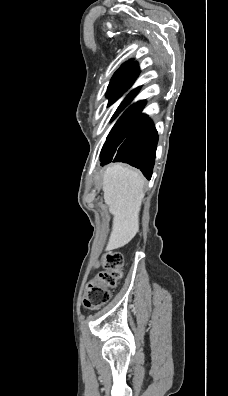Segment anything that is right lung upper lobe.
I'll return each instance as SVG.
<instances>
[{"instance_id": "right-lung-upper-lobe-1", "label": "right lung upper lobe", "mask_w": 228, "mask_h": 396, "mask_svg": "<svg viewBox=\"0 0 228 396\" xmlns=\"http://www.w3.org/2000/svg\"><path fill=\"white\" fill-rule=\"evenodd\" d=\"M139 72L138 63L136 61L125 62L113 75L112 79L130 75Z\"/></svg>"}]
</instances>
